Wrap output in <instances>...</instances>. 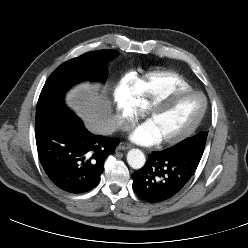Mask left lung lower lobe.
<instances>
[{"mask_svg":"<svg viewBox=\"0 0 248 248\" xmlns=\"http://www.w3.org/2000/svg\"><path fill=\"white\" fill-rule=\"evenodd\" d=\"M202 155L199 151L170 148L152 152L144 167L132 174L134 192L150 203L171 199L186 186Z\"/></svg>","mask_w":248,"mask_h":248,"instance_id":"left-lung-lower-lobe-1","label":"left lung lower lobe"}]
</instances>
